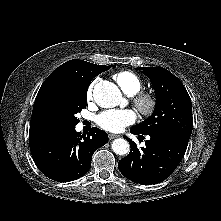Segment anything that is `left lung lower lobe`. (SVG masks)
Wrapping results in <instances>:
<instances>
[{
  "mask_svg": "<svg viewBox=\"0 0 221 221\" xmlns=\"http://www.w3.org/2000/svg\"><path fill=\"white\" fill-rule=\"evenodd\" d=\"M130 131L143 137L132 128ZM148 135L150 139L145 141L146 146L141 149L128 139L131 145L130 153L118 163L123 176L144 185L156 184L167 178L182 160L188 145V141L174 135Z\"/></svg>",
  "mask_w": 221,
  "mask_h": 221,
  "instance_id": "left-lung-lower-lobe-1",
  "label": "left lung lower lobe"
}]
</instances>
